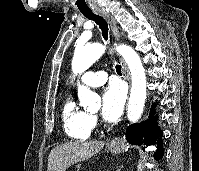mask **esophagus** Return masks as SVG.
I'll return each mask as SVG.
<instances>
[{
  "mask_svg": "<svg viewBox=\"0 0 199 171\" xmlns=\"http://www.w3.org/2000/svg\"><path fill=\"white\" fill-rule=\"evenodd\" d=\"M97 13L99 15H101L108 22L109 27H110L111 32H112V35L114 36L116 41H119V38H120L119 30H118L117 24L114 21V19L112 18V16L104 10L98 11ZM120 62H121L122 72H123L124 78L128 81V83H130V75H129L128 68H127V66H126V64H125V62L122 58H120ZM123 144H124V139L122 137L114 138L110 142V146H112V147H119V146H122Z\"/></svg>",
  "mask_w": 199,
  "mask_h": 171,
  "instance_id": "esophagus-1",
  "label": "esophagus"
}]
</instances>
